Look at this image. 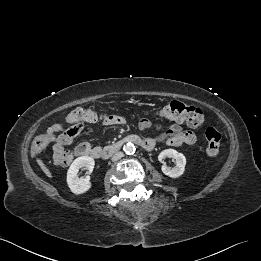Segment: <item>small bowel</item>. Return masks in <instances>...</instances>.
Masks as SVG:
<instances>
[{
	"mask_svg": "<svg viewBox=\"0 0 261 261\" xmlns=\"http://www.w3.org/2000/svg\"><path fill=\"white\" fill-rule=\"evenodd\" d=\"M101 124L104 126H123L126 124V120L120 115H105ZM140 127L142 129L160 130L161 133L154 139V141L166 143L170 146H190L195 144L197 140L196 135L189 130H184L179 122L164 127L159 124H154L150 120H142ZM64 130L65 124L57 123L51 125L46 132L57 135ZM65 145L67 144H59L58 142L52 143V159L56 165H68L73 160L74 156H92L96 158L99 157V152L101 151L99 147H94L86 142L78 144L74 152L64 151Z\"/></svg>",
	"mask_w": 261,
	"mask_h": 261,
	"instance_id": "small-bowel-1",
	"label": "small bowel"
}]
</instances>
